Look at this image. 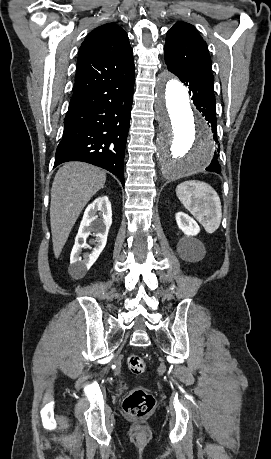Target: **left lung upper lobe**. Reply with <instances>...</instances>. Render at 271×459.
Returning <instances> with one entry per match:
<instances>
[{
    "instance_id": "left-lung-upper-lobe-1",
    "label": "left lung upper lobe",
    "mask_w": 271,
    "mask_h": 459,
    "mask_svg": "<svg viewBox=\"0 0 271 459\" xmlns=\"http://www.w3.org/2000/svg\"><path fill=\"white\" fill-rule=\"evenodd\" d=\"M165 63L176 72L211 73V57L206 42L195 27L178 21L167 32L164 46Z\"/></svg>"
}]
</instances>
